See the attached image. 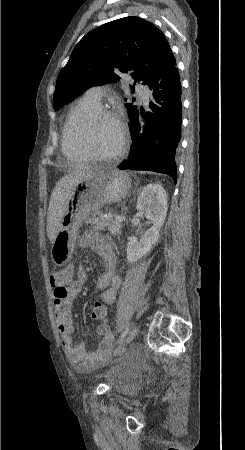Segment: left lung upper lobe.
Instances as JSON below:
<instances>
[{
  "instance_id": "left-lung-upper-lobe-1",
  "label": "left lung upper lobe",
  "mask_w": 245,
  "mask_h": 450,
  "mask_svg": "<svg viewBox=\"0 0 245 450\" xmlns=\"http://www.w3.org/2000/svg\"><path fill=\"white\" fill-rule=\"evenodd\" d=\"M172 55L163 33L148 21L131 16L106 23L75 46L57 78L54 109L92 86L118 82L123 73L147 85ZM126 107L130 118L138 112L132 103Z\"/></svg>"
}]
</instances>
